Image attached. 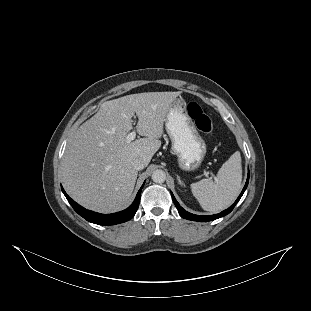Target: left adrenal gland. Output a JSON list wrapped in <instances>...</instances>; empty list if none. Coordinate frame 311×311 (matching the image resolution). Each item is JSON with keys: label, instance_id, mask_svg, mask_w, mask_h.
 Returning <instances> with one entry per match:
<instances>
[{"label": "left adrenal gland", "instance_id": "1", "mask_svg": "<svg viewBox=\"0 0 311 311\" xmlns=\"http://www.w3.org/2000/svg\"><path fill=\"white\" fill-rule=\"evenodd\" d=\"M178 182L181 184V186L184 187V184L182 183L181 179L179 177H177Z\"/></svg>", "mask_w": 311, "mask_h": 311}]
</instances>
